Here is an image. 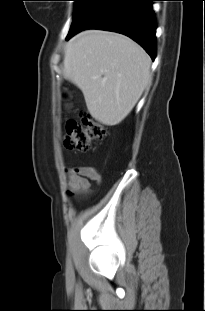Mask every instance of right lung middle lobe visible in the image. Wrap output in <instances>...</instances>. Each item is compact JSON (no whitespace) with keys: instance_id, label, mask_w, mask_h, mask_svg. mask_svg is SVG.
I'll return each instance as SVG.
<instances>
[{"instance_id":"dd1d6c3e","label":"right lung middle lobe","mask_w":205,"mask_h":311,"mask_svg":"<svg viewBox=\"0 0 205 311\" xmlns=\"http://www.w3.org/2000/svg\"><path fill=\"white\" fill-rule=\"evenodd\" d=\"M74 1H75V8H74V14H73V20H72L71 28L75 26L79 17L84 12V10H85V8H86V6L90 0H74Z\"/></svg>"}]
</instances>
